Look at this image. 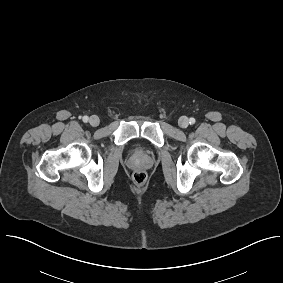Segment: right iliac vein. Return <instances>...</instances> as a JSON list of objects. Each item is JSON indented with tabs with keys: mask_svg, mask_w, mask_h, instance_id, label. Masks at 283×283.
I'll list each match as a JSON object with an SVG mask.
<instances>
[{
	"mask_svg": "<svg viewBox=\"0 0 283 283\" xmlns=\"http://www.w3.org/2000/svg\"><path fill=\"white\" fill-rule=\"evenodd\" d=\"M89 123H90L91 126L96 127V126L99 125L100 120H99L98 116L93 115L89 118Z\"/></svg>",
	"mask_w": 283,
	"mask_h": 283,
	"instance_id": "right-iliac-vein-1",
	"label": "right iliac vein"
}]
</instances>
